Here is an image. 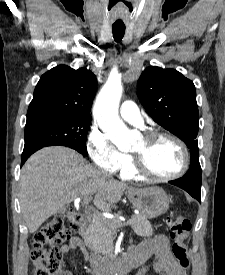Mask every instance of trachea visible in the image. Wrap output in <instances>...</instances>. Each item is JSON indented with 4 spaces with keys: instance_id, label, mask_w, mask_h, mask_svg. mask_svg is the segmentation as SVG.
Here are the masks:
<instances>
[{
    "instance_id": "trachea-1",
    "label": "trachea",
    "mask_w": 225,
    "mask_h": 275,
    "mask_svg": "<svg viewBox=\"0 0 225 275\" xmlns=\"http://www.w3.org/2000/svg\"><path fill=\"white\" fill-rule=\"evenodd\" d=\"M113 37L116 42H120L125 34V27H112Z\"/></svg>"
}]
</instances>
